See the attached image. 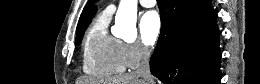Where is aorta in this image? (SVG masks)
<instances>
[{"instance_id": "obj_1", "label": "aorta", "mask_w": 260, "mask_h": 84, "mask_svg": "<svg viewBox=\"0 0 260 84\" xmlns=\"http://www.w3.org/2000/svg\"><path fill=\"white\" fill-rule=\"evenodd\" d=\"M137 0H121L115 16V35L125 41L137 37Z\"/></svg>"}]
</instances>
